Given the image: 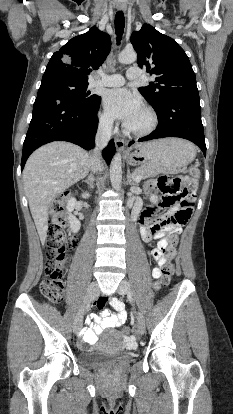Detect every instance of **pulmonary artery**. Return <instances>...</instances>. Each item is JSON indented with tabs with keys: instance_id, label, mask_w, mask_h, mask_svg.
Returning a JSON list of instances; mask_svg holds the SVG:
<instances>
[{
	"instance_id": "1",
	"label": "pulmonary artery",
	"mask_w": 233,
	"mask_h": 414,
	"mask_svg": "<svg viewBox=\"0 0 233 414\" xmlns=\"http://www.w3.org/2000/svg\"><path fill=\"white\" fill-rule=\"evenodd\" d=\"M126 77L130 80L138 79L141 77V71L137 67H130L127 70ZM125 83V78L120 74L101 75V79L96 84L107 87H118Z\"/></svg>"
}]
</instances>
